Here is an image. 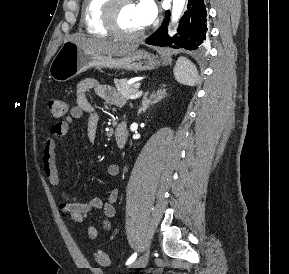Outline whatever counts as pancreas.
Wrapping results in <instances>:
<instances>
[{
	"label": "pancreas",
	"mask_w": 289,
	"mask_h": 274,
	"mask_svg": "<svg viewBox=\"0 0 289 274\" xmlns=\"http://www.w3.org/2000/svg\"><path fill=\"white\" fill-rule=\"evenodd\" d=\"M115 86L121 97L129 98L132 94L138 92L140 84L136 83L131 85L127 83V79H119L115 80Z\"/></svg>",
	"instance_id": "cf45deb5"
}]
</instances>
